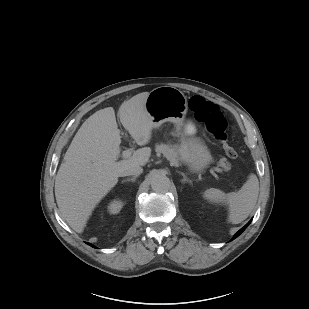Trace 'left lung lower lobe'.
Masks as SVG:
<instances>
[{
    "mask_svg": "<svg viewBox=\"0 0 309 309\" xmlns=\"http://www.w3.org/2000/svg\"><path fill=\"white\" fill-rule=\"evenodd\" d=\"M250 223H251V221L248 222L241 230H239V231L234 235L233 239H235L236 237H238V236L247 228V226H248Z\"/></svg>",
    "mask_w": 309,
    "mask_h": 309,
    "instance_id": "1",
    "label": "left lung lower lobe"
}]
</instances>
